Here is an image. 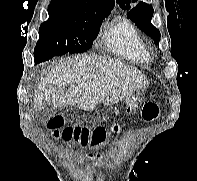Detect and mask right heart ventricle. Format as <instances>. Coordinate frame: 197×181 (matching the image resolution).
I'll use <instances>...</instances> for the list:
<instances>
[{"instance_id": "e07e8e85", "label": "right heart ventricle", "mask_w": 197, "mask_h": 181, "mask_svg": "<svg viewBox=\"0 0 197 181\" xmlns=\"http://www.w3.org/2000/svg\"><path fill=\"white\" fill-rule=\"evenodd\" d=\"M104 43L111 53L124 59L143 63L149 53L134 24L125 18H117L105 27Z\"/></svg>"}]
</instances>
